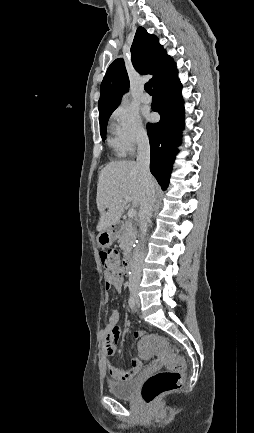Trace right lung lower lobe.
I'll use <instances>...</instances> for the list:
<instances>
[{"label":"right lung lower lobe","instance_id":"98d812e1","mask_svg":"<svg viewBox=\"0 0 254 433\" xmlns=\"http://www.w3.org/2000/svg\"><path fill=\"white\" fill-rule=\"evenodd\" d=\"M181 83L176 66L153 87L152 110L158 112V123L147 124L151 159L150 170L165 190L168 186L172 165L177 153L176 147L183 129L184 107Z\"/></svg>","mask_w":254,"mask_h":433}]
</instances>
